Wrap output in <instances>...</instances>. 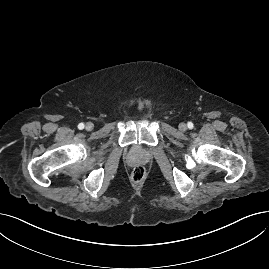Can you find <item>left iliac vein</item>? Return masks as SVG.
<instances>
[{"instance_id": "4c4485c4", "label": "left iliac vein", "mask_w": 269, "mask_h": 269, "mask_svg": "<svg viewBox=\"0 0 269 269\" xmlns=\"http://www.w3.org/2000/svg\"><path fill=\"white\" fill-rule=\"evenodd\" d=\"M179 130L184 132L187 130V125L185 123H180L179 124Z\"/></svg>"}]
</instances>
